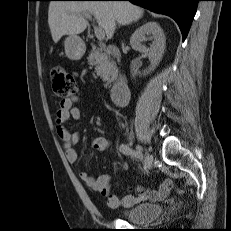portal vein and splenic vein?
<instances>
[{
    "mask_svg": "<svg viewBox=\"0 0 231 231\" xmlns=\"http://www.w3.org/2000/svg\"><path fill=\"white\" fill-rule=\"evenodd\" d=\"M87 18H90L89 15H84ZM95 35L99 41H102L105 38L104 30L101 27H94Z\"/></svg>",
    "mask_w": 231,
    "mask_h": 231,
    "instance_id": "obj_1",
    "label": "portal vein and splenic vein"
}]
</instances>
